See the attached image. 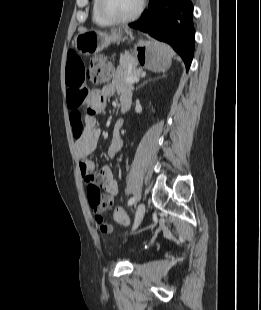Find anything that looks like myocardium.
<instances>
[{
  "mask_svg": "<svg viewBox=\"0 0 261 310\" xmlns=\"http://www.w3.org/2000/svg\"><path fill=\"white\" fill-rule=\"evenodd\" d=\"M96 1H97V10H98L99 15L105 21L109 22L110 24H126V23L135 21L136 19L140 17V15L142 14L144 10V6H145V0H140L138 8L132 15L128 17H124V18H118L106 12L104 8V0H96Z\"/></svg>",
  "mask_w": 261,
  "mask_h": 310,
  "instance_id": "1",
  "label": "myocardium"
}]
</instances>
